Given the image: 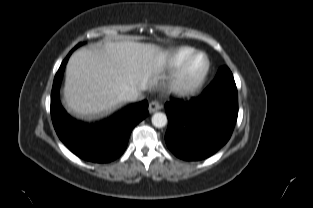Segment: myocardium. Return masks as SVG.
<instances>
[{
  "label": "myocardium",
  "instance_id": "f54148a6",
  "mask_svg": "<svg viewBox=\"0 0 313 208\" xmlns=\"http://www.w3.org/2000/svg\"><path fill=\"white\" fill-rule=\"evenodd\" d=\"M201 59L200 67L192 73L194 63ZM210 68V62L203 52L191 54L172 74L168 81L170 93L188 96L196 93L203 85Z\"/></svg>",
  "mask_w": 313,
  "mask_h": 208
}]
</instances>
